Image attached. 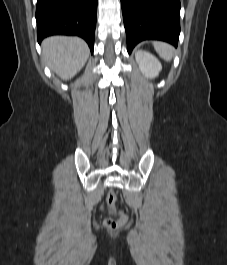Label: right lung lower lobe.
Listing matches in <instances>:
<instances>
[{
	"mask_svg": "<svg viewBox=\"0 0 227 265\" xmlns=\"http://www.w3.org/2000/svg\"><path fill=\"white\" fill-rule=\"evenodd\" d=\"M97 0H37V38L77 35L94 49Z\"/></svg>",
	"mask_w": 227,
	"mask_h": 265,
	"instance_id": "98d812e1",
	"label": "right lung lower lobe"
}]
</instances>
